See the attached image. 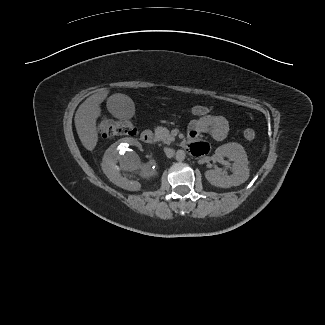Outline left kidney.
<instances>
[{"label":"left kidney","instance_id":"left-kidney-1","mask_svg":"<svg viewBox=\"0 0 325 325\" xmlns=\"http://www.w3.org/2000/svg\"><path fill=\"white\" fill-rule=\"evenodd\" d=\"M215 154L218 159L224 157L233 161L232 174H224L219 169L207 170L205 172L206 179L214 186L221 188H229L238 186L247 181L249 178L248 158L242 145L238 143H227L219 146Z\"/></svg>","mask_w":325,"mask_h":325}]
</instances>
